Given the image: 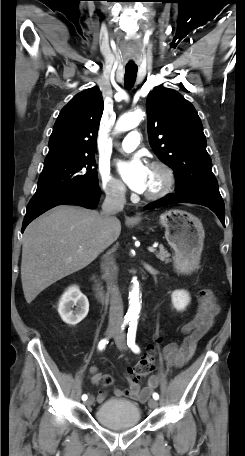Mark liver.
Here are the masks:
<instances>
[{
	"label": "liver",
	"instance_id": "6515ba94",
	"mask_svg": "<svg viewBox=\"0 0 245 456\" xmlns=\"http://www.w3.org/2000/svg\"><path fill=\"white\" fill-rule=\"evenodd\" d=\"M120 233L116 217L106 224L97 211L75 206H57L35 219L23 235L21 281L27 303L88 266Z\"/></svg>",
	"mask_w": 245,
	"mask_h": 456
}]
</instances>
